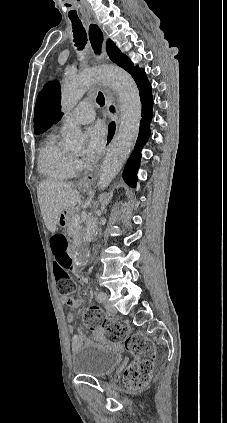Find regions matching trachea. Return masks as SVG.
Here are the masks:
<instances>
[{
  "instance_id": "3493384b",
  "label": "trachea",
  "mask_w": 227,
  "mask_h": 423,
  "mask_svg": "<svg viewBox=\"0 0 227 423\" xmlns=\"http://www.w3.org/2000/svg\"><path fill=\"white\" fill-rule=\"evenodd\" d=\"M70 20L72 22L75 46L78 50H82L87 43V34L79 19L70 18ZM96 101L101 107L105 105V98L102 92L98 93Z\"/></svg>"
}]
</instances>
